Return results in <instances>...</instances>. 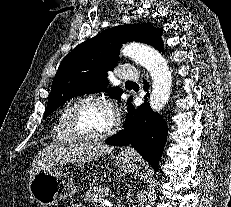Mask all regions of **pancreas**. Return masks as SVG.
Instances as JSON below:
<instances>
[{
  "label": "pancreas",
  "mask_w": 231,
  "mask_h": 207,
  "mask_svg": "<svg viewBox=\"0 0 231 207\" xmlns=\"http://www.w3.org/2000/svg\"><path fill=\"white\" fill-rule=\"evenodd\" d=\"M110 196V191L107 187L99 186L88 190L85 194L84 201L88 203H98L101 202L103 198Z\"/></svg>",
  "instance_id": "obj_1"
}]
</instances>
